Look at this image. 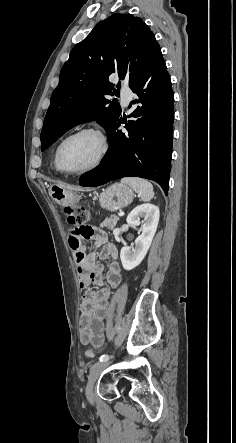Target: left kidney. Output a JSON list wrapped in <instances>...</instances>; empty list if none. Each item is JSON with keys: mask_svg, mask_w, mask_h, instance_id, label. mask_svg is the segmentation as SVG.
Masks as SVG:
<instances>
[{"mask_svg": "<svg viewBox=\"0 0 236 443\" xmlns=\"http://www.w3.org/2000/svg\"><path fill=\"white\" fill-rule=\"evenodd\" d=\"M159 208L153 204H141L134 208L126 221L129 225H141L142 234L135 240V246H124L120 251V259L125 270L137 267L146 256L159 222ZM140 218L144 220L140 221Z\"/></svg>", "mask_w": 236, "mask_h": 443, "instance_id": "1", "label": "left kidney"}]
</instances>
